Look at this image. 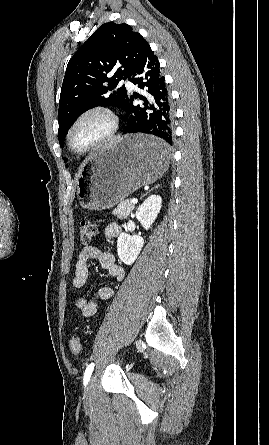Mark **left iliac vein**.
I'll return each mask as SVG.
<instances>
[{
    "label": "left iliac vein",
    "mask_w": 269,
    "mask_h": 445,
    "mask_svg": "<svg viewBox=\"0 0 269 445\" xmlns=\"http://www.w3.org/2000/svg\"><path fill=\"white\" fill-rule=\"evenodd\" d=\"M95 380H96V375H93L88 385L85 388L84 397L86 400L92 399L95 395Z\"/></svg>",
    "instance_id": "obj_1"
}]
</instances>
